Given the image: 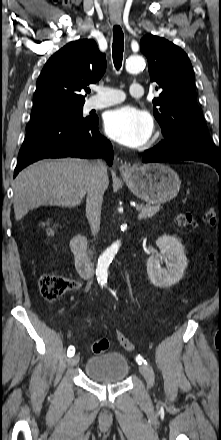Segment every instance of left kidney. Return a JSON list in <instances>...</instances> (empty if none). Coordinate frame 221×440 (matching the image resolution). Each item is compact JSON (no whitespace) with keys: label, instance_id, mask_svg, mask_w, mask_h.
Listing matches in <instances>:
<instances>
[{"label":"left kidney","instance_id":"left-kidney-1","mask_svg":"<svg viewBox=\"0 0 221 440\" xmlns=\"http://www.w3.org/2000/svg\"><path fill=\"white\" fill-rule=\"evenodd\" d=\"M160 253L147 260V274L153 285L167 288L175 285L184 275L188 262L181 241L170 235H163L156 241ZM165 262L166 268H161Z\"/></svg>","mask_w":221,"mask_h":440}]
</instances>
